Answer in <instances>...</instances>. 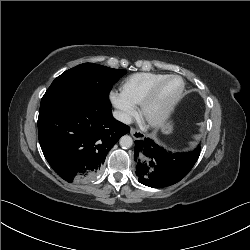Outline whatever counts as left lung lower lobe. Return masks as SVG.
<instances>
[{
	"label": "left lung lower lobe",
	"mask_w": 250,
	"mask_h": 250,
	"mask_svg": "<svg viewBox=\"0 0 250 250\" xmlns=\"http://www.w3.org/2000/svg\"><path fill=\"white\" fill-rule=\"evenodd\" d=\"M200 155V145L192 152H168L149 138L135 141L136 175L140 183L162 188L177 183L192 169Z\"/></svg>",
	"instance_id": "1"
}]
</instances>
